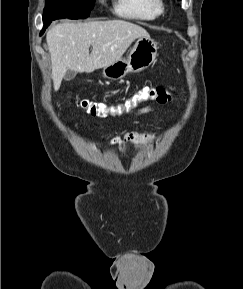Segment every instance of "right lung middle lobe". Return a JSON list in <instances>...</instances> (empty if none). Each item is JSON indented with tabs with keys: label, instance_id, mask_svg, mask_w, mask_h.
<instances>
[{
	"label": "right lung middle lobe",
	"instance_id": "right-lung-middle-lobe-1",
	"mask_svg": "<svg viewBox=\"0 0 243 289\" xmlns=\"http://www.w3.org/2000/svg\"><path fill=\"white\" fill-rule=\"evenodd\" d=\"M94 3L95 0H46L43 20L87 18Z\"/></svg>",
	"mask_w": 243,
	"mask_h": 289
}]
</instances>
